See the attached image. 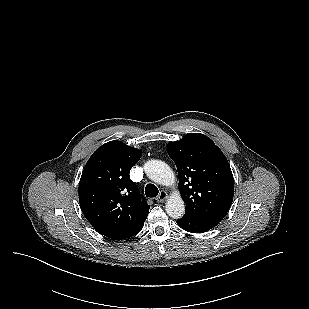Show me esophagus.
Masks as SVG:
<instances>
[{
	"label": "esophagus",
	"instance_id": "1",
	"mask_svg": "<svg viewBox=\"0 0 309 309\" xmlns=\"http://www.w3.org/2000/svg\"><path fill=\"white\" fill-rule=\"evenodd\" d=\"M168 198V194L166 191L162 190L160 191L159 195L157 196L156 200L157 202H163Z\"/></svg>",
	"mask_w": 309,
	"mask_h": 309
}]
</instances>
